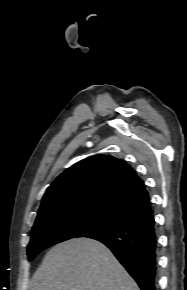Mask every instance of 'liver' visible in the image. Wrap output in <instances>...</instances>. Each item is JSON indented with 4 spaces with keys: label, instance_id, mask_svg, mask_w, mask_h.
Segmentation results:
<instances>
[{
    "label": "liver",
    "instance_id": "obj_1",
    "mask_svg": "<svg viewBox=\"0 0 187 290\" xmlns=\"http://www.w3.org/2000/svg\"><path fill=\"white\" fill-rule=\"evenodd\" d=\"M30 290H140L101 242L74 238L45 255Z\"/></svg>",
    "mask_w": 187,
    "mask_h": 290
}]
</instances>
